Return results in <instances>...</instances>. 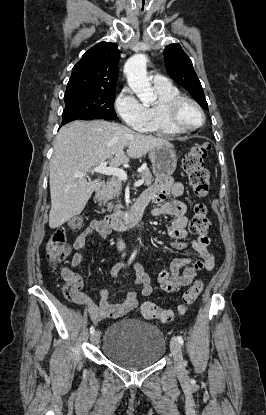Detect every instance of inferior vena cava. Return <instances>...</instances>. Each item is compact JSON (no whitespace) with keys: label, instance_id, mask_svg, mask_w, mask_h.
I'll return each mask as SVG.
<instances>
[{"label":"inferior vena cava","instance_id":"1","mask_svg":"<svg viewBox=\"0 0 266 415\" xmlns=\"http://www.w3.org/2000/svg\"><path fill=\"white\" fill-rule=\"evenodd\" d=\"M117 248L120 252L124 251L125 249V243L123 240L119 239L117 243Z\"/></svg>","mask_w":266,"mask_h":415}]
</instances>
